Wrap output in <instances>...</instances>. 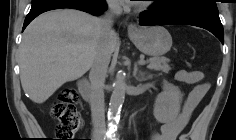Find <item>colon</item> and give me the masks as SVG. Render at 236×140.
I'll return each mask as SVG.
<instances>
[{"instance_id": "1", "label": "colon", "mask_w": 236, "mask_h": 140, "mask_svg": "<svg viewBox=\"0 0 236 140\" xmlns=\"http://www.w3.org/2000/svg\"><path fill=\"white\" fill-rule=\"evenodd\" d=\"M77 94L71 88L63 89L51 107V116L58 122L56 134L58 140H71L81 128L82 119L76 108ZM181 140H187L184 136Z\"/></svg>"}]
</instances>
